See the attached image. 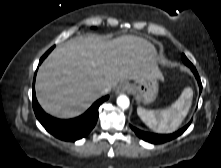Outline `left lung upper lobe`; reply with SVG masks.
<instances>
[{
	"label": "left lung upper lobe",
	"instance_id": "left-lung-upper-lobe-1",
	"mask_svg": "<svg viewBox=\"0 0 221 168\" xmlns=\"http://www.w3.org/2000/svg\"><path fill=\"white\" fill-rule=\"evenodd\" d=\"M182 60H183V62H184L188 67H190L191 69L194 68V66L192 65V63L186 58V56H185L184 54L182 55Z\"/></svg>",
	"mask_w": 221,
	"mask_h": 168
}]
</instances>
